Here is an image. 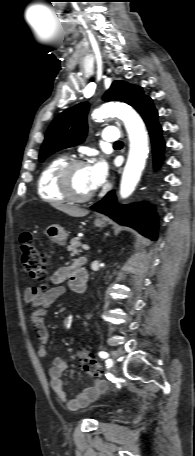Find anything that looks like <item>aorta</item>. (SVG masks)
Wrapping results in <instances>:
<instances>
[{
  "instance_id": "762f6f07",
  "label": "aorta",
  "mask_w": 195,
  "mask_h": 456,
  "mask_svg": "<svg viewBox=\"0 0 195 456\" xmlns=\"http://www.w3.org/2000/svg\"><path fill=\"white\" fill-rule=\"evenodd\" d=\"M110 116H116L124 122L129 136V154L120 184V195L126 198L134 191L145 167L148 134L140 116L126 104L109 102L93 112L96 119Z\"/></svg>"
}]
</instances>
